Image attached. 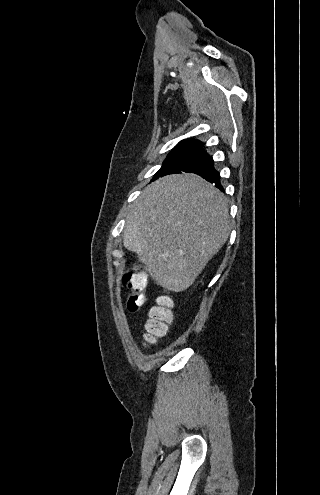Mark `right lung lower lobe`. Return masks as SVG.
<instances>
[{
    "label": "right lung lower lobe",
    "instance_id": "obj_1",
    "mask_svg": "<svg viewBox=\"0 0 320 495\" xmlns=\"http://www.w3.org/2000/svg\"><path fill=\"white\" fill-rule=\"evenodd\" d=\"M182 171L200 175L202 178L213 183L215 187L223 191V187L220 182V174L214 168L212 157L204 150L203 147L196 152L176 173H181Z\"/></svg>",
    "mask_w": 320,
    "mask_h": 495
}]
</instances>
